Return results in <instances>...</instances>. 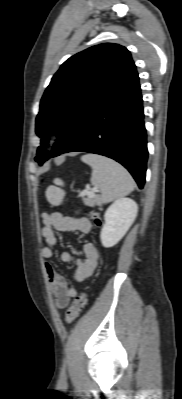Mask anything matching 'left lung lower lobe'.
Segmentation results:
<instances>
[{"mask_svg": "<svg viewBox=\"0 0 182 399\" xmlns=\"http://www.w3.org/2000/svg\"><path fill=\"white\" fill-rule=\"evenodd\" d=\"M138 75L115 93L62 152L82 151L107 156L145 183L148 158L142 95Z\"/></svg>", "mask_w": 182, "mask_h": 399, "instance_id": "left-lung-lower-lobe-1", "label": "left lung lower lobe"}]
</instances>
